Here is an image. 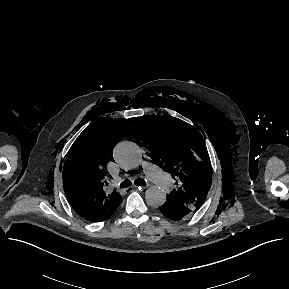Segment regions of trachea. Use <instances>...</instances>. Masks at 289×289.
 Returning <instances> with one entry per match:
<instances>
[{
	"mask_svg": "<svg viewBox=\"0 0 289 289\" xmlns=\"http://www.w3.org/2000/svg\"><path fill=\"white\" fill-rule=\"evenodd\" d=\"M134 183H135V185H138V186H146V182L142 178H137L134 181ZM131 184H132L131 181L129 179H126L120 184V187L121 188H127V187L131 186Z\"/></svg>",
	"mask_w": 289,
	"mask_h": 289,
	"instance_id": "1",
	"label": "trachea"
}]
</instances>
